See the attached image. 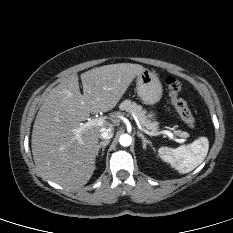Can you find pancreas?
Masks as SVG:
<instances>
[{"mask_svg":"<svg viewBox=\"0 0 233 233\" xmlns=\"http://www.w3.org/2000/svg\"><path fill=\"white\" fill-rule=\"evenodd\" d=\"M120 110L133 113L140 123V125L148 130L153 132L157 131L158 123L151 122L148 117L146 116V111L142 108L141 105H137L135 102L131 100H124L120 106ZM177 134L183 137H187L188 134L186 132L177 131Z\"/></svg>","mask_w":233,"mask_h":233,"instance_id":"cf45deb5","label":"pancreas"}]
</instances>
